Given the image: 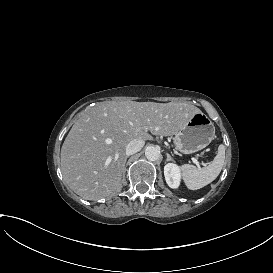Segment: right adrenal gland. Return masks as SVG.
Returning <instances> with one entry per match:
<instances>
[{
	"instance_id": "obj_1",
	"label": "right adrenal gland",
	"mask_w": 273,
	"mask_h": 273,
	"mask_svg": "<svg viewBox=\"0 0 273 273\" xmlns=\"http://www.w3.org/2000/svg\"><path fill=\"white\" fill-rule=\"evenodd\" d=\"M129 157H130V156H126V159H125V162H124V167H125L126 160H127Z\"/></svg>"
}]
</instances>
